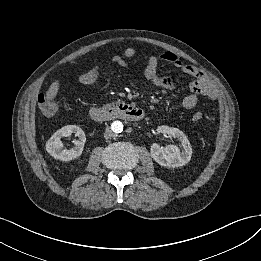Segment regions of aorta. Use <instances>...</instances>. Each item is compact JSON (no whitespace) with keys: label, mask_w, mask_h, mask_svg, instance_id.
<instances>
[{"label":"aorta","mask_w":261,"mask_h":261,"mask_svg":"<svg viewBox=\"0 0 261 261\" xmlns=\"http://www.w3.org/2000/svg\"><path fill=\"white\" fill-rule=\"evenodd\" d=\"M113 132L121 133L123 131V123L121 121H114L111 125Z\"/></svg>","instance_id":"1"}]
</instances>
